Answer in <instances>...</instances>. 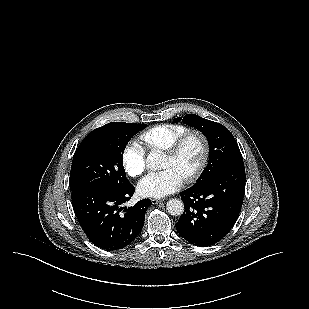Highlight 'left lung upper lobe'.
<instances>
[{
  "mask_svg": "<svg viewBox=\"0 0 309 309\" xmlns=\"http://www.w3.org/2000/svg\"><path fill=\"white\" fill-rule=\"evenodd\" d=\"M181 118H175V122ZM184 124L200 130L209 142V162L198 178L197 182L213 174L234 166H243V158L239 147L231 132L223 125L204 119L195 114H188L183 118Z\"/></svg>",
  "mask_w": 309,
  "mask_h": 309,
  "instance_id": "left-lung-upper-lobe-1",
  "label": "left lung upper lobe"
}]
</instances>
